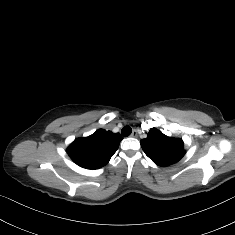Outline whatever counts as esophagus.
<instances>
[{
	"label": "esophagus",
	"mask_w": 235,
	"mask_h": 235,
	"mask_svg": "<svg viewBox=\"0 0 235 235\" xmlns=\"http://www.w3.org/2000/svg\"><path fill=\"white\" fill-rule=\"evenodd\" d=\"M131 137H137L138 136V133H137V130L134 129L130 135Z\"/></svg>",
	"instance_id": "obj_1"
}]
</instances>
